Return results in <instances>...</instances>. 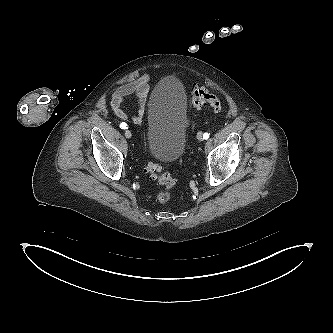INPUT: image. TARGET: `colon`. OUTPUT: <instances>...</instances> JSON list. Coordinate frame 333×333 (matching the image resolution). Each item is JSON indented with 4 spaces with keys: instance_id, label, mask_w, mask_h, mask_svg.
Here are the masks:
<instances>
[{
    "instance_id": "5ec220e1",
    "label": "colon",
    "mask_w": 333,
    "mask_h": 333,
    "mask_svg": "<svg viewBox=\"0 0 333 333\" xmlns=\"http://www.w3.org/2000/svg\"><path fill=\"white\" fill-rule=\"evenodd\" d=\"M191 104L195 111H199L204 106H209L215 111L222 109L221 100L201 87L193 88L191 92ZM146 172L152 180L157 181L160 185L157 199L160 202H167L171 197L172 188L176 184L175 178L168 172L166 167L151 160L147 163Z\"/></svg>"
}]
</instances>
